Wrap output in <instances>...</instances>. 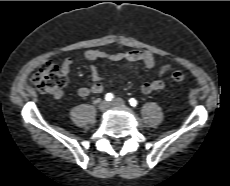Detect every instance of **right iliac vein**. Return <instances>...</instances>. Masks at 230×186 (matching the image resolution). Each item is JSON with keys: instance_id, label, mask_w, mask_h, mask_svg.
<instances>
[{"instance_id": "right-iliac-vein-1", "label": "right iliac vein", "mask_w": 230, "mask_h": 186, "mask_svg": "<svg viewBox=\"0 0 230 186\" xmlns=\"http://www.w3.org/2000/svg\"><path fill=\"white\" fill-rule=\"evenodd\" d=\"M109 107H110V103L106 100L101 101L99 106H98V108L101 112L107 111L109 109Z\"/></svg>"}]
</instances>
